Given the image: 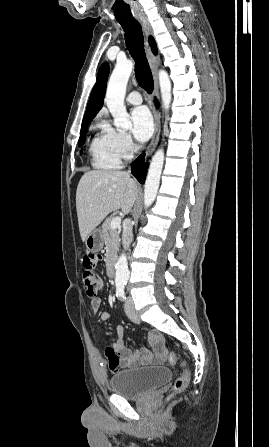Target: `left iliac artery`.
<instances>
[{"mask_svg": "<svg viewBox=\"0 0 269 447\" xmlns=\"http://www.w3.org/2000/svg\"><path fill=\"white\" fill-rule=\"evenodd\" d=\"M125 285H126V282H122V283H118V284H116V296H117L121 301H123V300L126 299L125 292H124Z\"/></svg>", "mask_w": 269, "mask_h": 447, "instance_id": "44dca946", "label": "left iliac artery"}]
</instances>
